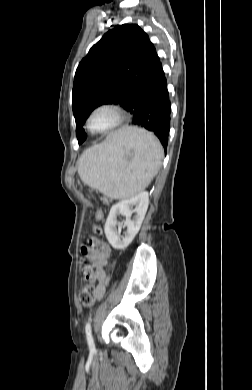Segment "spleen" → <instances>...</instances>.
Listing matches in <instances>:
<instances>
[{
	"label": "spleen",
	"mask_w": 252,
	"mask_h": 390,
	"mask_svg": "<svg viewBox=\"0 0 252 390\" xmlns=\"http://www.w3.org/2000/svg\"><path fill=\"white\" fill-rule=\"evenodd\" d=\"M163 158L158 139L146 130L127 127L87 149L78 164L82 182L111 199L143 191L157 174Z\"/></svg>",
	"instance_id": "3e777b00"
}]
</instances>
